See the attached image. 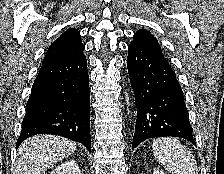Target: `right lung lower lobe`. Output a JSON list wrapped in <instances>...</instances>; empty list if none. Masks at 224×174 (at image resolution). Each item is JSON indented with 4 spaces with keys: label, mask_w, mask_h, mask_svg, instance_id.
<instances>
[{
    "label": "right lung lower lobe",
    "mask_w": 224,
    "mask_h": 174,
    "mask_svg": "<svg viewBox=\"0 0 224 174\" xmlns=\"http://www.w3.org/2000/svg\"><path fill=\"white\" fill-rule=\"evenodd\" d=\"M37 134L63 136L91 151L89 76L84 53L41 66L16 145Z\"/></svg>",
    "instance_id": "right-lung-lower-lobe-1"
}]
</instances>
